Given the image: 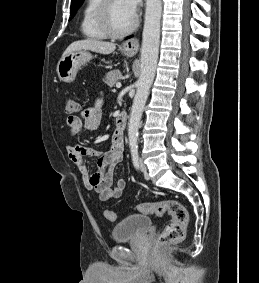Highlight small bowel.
I'll return each mask as SVG.
<instances>
[{
  "label": "small bowel",
  "instance_id": "c3829d8e",
  "mask_svg": "<svg viewBox=\"0 0 259 283\" xmlns=\"http://www.w3.org/2000/svg\"><path fill=\"white\" fill-rule=\"evenodd\" d=\"M102 117V100L82 111L80 116L71 115L67 118V126L71 135L79 134L83 129L95 130ZM67 156L79 169L85 188L98 193L102 201L122 196L126 181L119 179L113 181L114 167L120 163L124 154V139L122 134L114 132L111 145L107 150L93 149L86 145L68 143L65 147ZM85 156L97 158L99 170L91 172Z\"/></svg>",
  "mask_w": 259,
  "mask_h": 283
}]
</instances>
